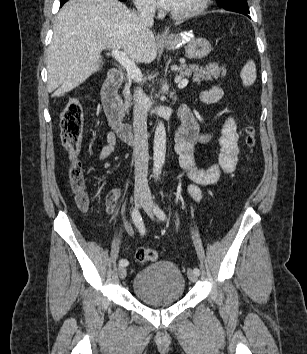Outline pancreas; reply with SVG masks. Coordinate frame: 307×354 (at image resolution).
<instances>
[{
    "mask_svg": "<svg viewBox=\"0 0 307 354\" xmlns=\"http://www.w3.org/2000/svg\"><path fill=\"white\" fill-rule=\"evenodd\" d=\"M178 74L176 77L182 79L184 77H191L193 82L200 83L201 81H211L213 78L217 79L226 75V69L224 67H219L215 63H209L206 66L191 64V65H180L177 68ZM130 83L125 86L123 91V96L125 98V108L130 107Z\"/></svg>",
    "mask_w": 307,
    "mask_h": 354,
    "instance_id": "pancreas-1",
    "label": "pancreas"
}]
</instances>
